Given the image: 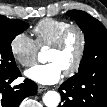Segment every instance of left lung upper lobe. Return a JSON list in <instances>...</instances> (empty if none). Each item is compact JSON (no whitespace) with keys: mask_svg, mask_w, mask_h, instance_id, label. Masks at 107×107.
<instances>
[{"mask_svg":"<svg viewBox=\"0 0 107 107\" xmlns=\"http://www.w3.org/2000/svg\"><path fill=\"white\" fill-rule=\"evenodd\" d=\"M67 14L74 19L84 32L85 50L77 74L68 81L79 84L75 97H67V107H83L82 101L86 89L81 88L83 81L92 76L107 77V30L97 19L80 10H71Z\"/></svg>","mask_w":107,"mask_h":107,"instance_id":"obj_1","label":"left lung upper lobe"}]
</instances>
